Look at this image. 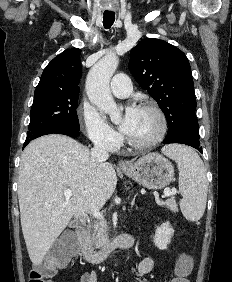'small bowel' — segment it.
<instances>
[{
  "mask_svg": "<svg viewBox=\"0 0 232 282\" xmlns=\"http://www.w3.org/2000/svg\"><path fill=\"white\" fill-rule=\"evenodd\" d=\"M154 261L151 257H145L137 267L138 282H147L144 276L150 273L153 269ZM78 282H98V275L95 271L84 272ZM130 282V281H129Z\"/></svg>",
  "mask_w": 232,
  "mask_h": 282,
  "instance_id": "small-bowel-1",
  "label": "small bowel"
}]
</instances>
